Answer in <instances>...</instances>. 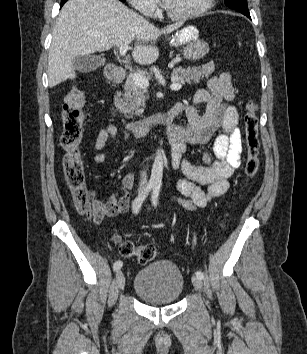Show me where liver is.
Masks as SVG:
<instances>
[{
    "label": "liver",
    "mask_w": 307,
    "mask_h": 354,
    "mask_svg": "<svg viewBox=\"0 0 307 354\" xmlns=\"http://www.w3.org/2000/svg\"><path fill=\"white\" fill-rule=\"evenodd\" d=\"M180 26L176 23L160 30L118 0H69L53 30L48 55L49 87L76 77V57L128 45L135 39L134 61L151 64L159 56L157 39Z\"/></svg>",
    "instance_id": "1"
}]
</instances>
